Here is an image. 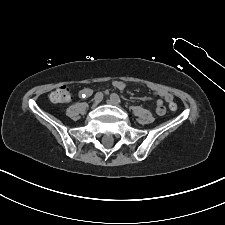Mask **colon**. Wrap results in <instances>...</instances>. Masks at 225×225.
<instances>
[{"label": "colon", "mask_w": 225, "mask_h": 225, "mask_svg": "<svg viewBox=\"0 0 225 225\" xmlns=\"http://www.w3.org/2000/svg\"><path fill=\"white\" fill-rule=\"evenodd\" d=\"M50 100L53 103H65L68 102L70 100V92H69V88L67 85L65 84H61L59 86H57L55 88V90H53L50 93ZM178 108L177 104L175 102L171 103L169 105V109L171 111H176ZM156 112L158 115H164L166 113V107L165 106H159L156 108Z\"/></svg>", "instance_id": "obj_1"}]
</instances>
